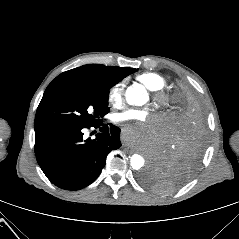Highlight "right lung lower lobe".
Here are the masks:
<instances>
[{
    "label": "right lung lower lobe",
    "mask_w": 239,
    "mask_h": 239,
    "mask_svg": "<svg viewBox=\"0 0 239 239\" xmlns=\"http://www.w3.org/2000/svg\"><path fill=\"white\" fill-rule=\"evenodd\" d=\"M94 140H83L85 128L100 127ZM90 127H35V155L46 177L65 190L90 185L101 173L111 150L121 146L120 129L99 122Z\"/></svg>",
    "instance_id": "1"
}]
</instances>
